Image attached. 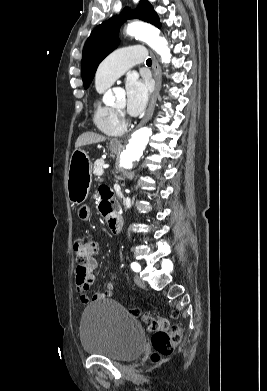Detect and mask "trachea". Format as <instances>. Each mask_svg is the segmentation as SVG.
<instances>
[{"instance_id":"obj_1","label":"trachea","mask_w":267,"mask_h":391,"mask_svg":"<svg viewBox=\"0 0 267 391\" xmlns=\"http://www.w3.org/2000/svg\"><path fill=\"white\" fill-rule=\"evenodd\" d=\"M146 64H147L148 66H150V65L152 64V61H151L150 58L146 60Z\"/></svg>"}]
</instances>
